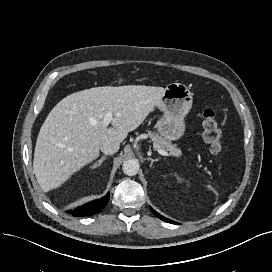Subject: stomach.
Here are the masks:
<instances>
[{
	"instance_id": "1",
	"label": "stomach",
	"mask_w": 272,
	"mask_h": 272,
	"mask_svg": "<svg viewBox=\"0 0 272 272\" xmlns=\"http://www.w3.org/2000/svg\"><path fill=\"white\" fill-rule=\"evenodd\" d=\"M193 95L182 83H170L157 107L163 115L157 120L155 128L166 140H178L185 132L184 118L192 107Z\"/></svg>"
}]
</instances>
